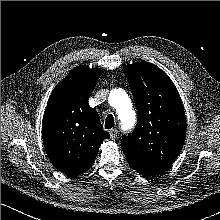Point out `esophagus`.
<instances>
[{
    "instance_id": "1",
    "label": "esophagus",
    "mask_w": 220,
    "mask_h": 220,
    "mask_svg": "<svg viewBox=\"0 0 220 220\" xmlns=\"http://www.w3.org/2000/svg\"><path fill=\"white\" fill-rule=\"evenodd\" d=\"M109 134H110V138L112 140H115L117 138L118 130L113 128V129L109 130Z\"/></svg>"
}]
</instances>
